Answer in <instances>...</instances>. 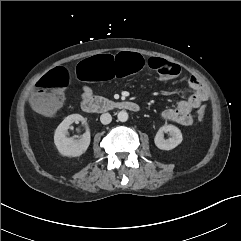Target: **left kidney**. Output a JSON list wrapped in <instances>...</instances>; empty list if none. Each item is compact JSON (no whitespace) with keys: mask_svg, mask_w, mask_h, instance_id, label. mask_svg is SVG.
Returning a JSON list of instances; mask_svg holds the SVG:
<instances>
[{"mask_svg":"<svg viewBox=\"0 0 241 241\" xmlns=\"http://www.w3.org/2000/svg\"><path fill=\"white\" fill-rule=\"evenodd\" d=\"M164 133H169L171 137L165 140ZM182 140V133L178 127L174 125H164L158 130L154 138V143L161 150H172L177 147Z\"/></svg>","mask_w":241,"mask_h":241,"instance_id":"1","label":"left kidney"}]
</instances>
